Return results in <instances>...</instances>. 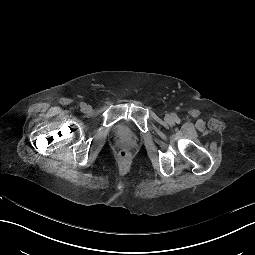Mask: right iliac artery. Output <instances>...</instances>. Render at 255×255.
Masks as SVG:
<instances>
[{
  "label": "right iliac artery",
  "instance_id": "obj_1",
  "mask_svg": "<svg viewBox=\"0 0 255 255\" xmlns=\"http://www.w3.org/2000/svg\"><path fill=\"white\" fill-rule=\"evenodd\" d=\"M80 107H81V109H84V108L86 107V104L82 102V103L80 104Z\"/></svg>",
  "mask_w": 255,
  "mask_h": 255
}]
</instances>
